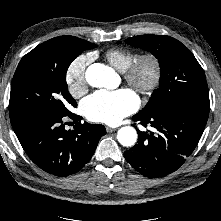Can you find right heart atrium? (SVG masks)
Wrapping results in <instances>:
<instances>
[{
  "mask_svg": "<svg viewBox=\"0 0 221 221\" xmlns=\"http://www.w3.org/2000/svg\"><path fill=\"white\" fill-rule=\"evenodd\" d=\"M90 60V55H80L69 64L66 70L65 82L74 97L82 96L87 90L86 68Z\"/></svg>",
  "mask_w": 221,
  "mask_h": 221,
  "instance_id": "right-heart-atrium-1",
  "label": "right heart atrium"
}]
</instances>
